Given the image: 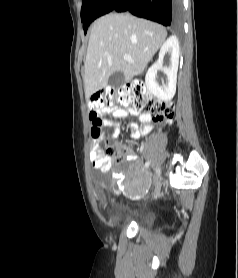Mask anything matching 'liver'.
Wrapping results in <instances>:
<instances>
[{
  "instance_id": "6515ba94",
  "label": "liver",
  "mask_w": 238,
  "mask_h": 278,
  "mask_svg": "<svg viewBox=\"0 0 238 278\" xmlns=\"http://www.w3.org/2000/svg\"><path fill=\"white\" fill-rule=\"evenodd\" d=\"M167 37L164 27L130 14L110 13L92 26L84 63L85 95L107 86L109 77L123 72L125 81L140 75ZM129 54L133 62L124 60Z\"/></svg>"
}]
</instances>
